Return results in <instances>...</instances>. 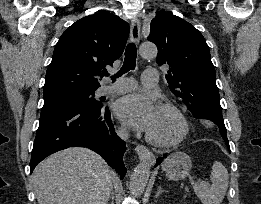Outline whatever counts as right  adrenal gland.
<instances>
[{
  "label": "right adrenal gland",
  "mask_w": 261,
  "mask_h": 204,
  "mask_svg": "<svg viewBox=\"0 0 261 204\" xmlns=\"http://www.w3.org/2000/svg\"><path fill=\"white\" fill-rule=\"evenodd\" d=\"M109 199L112 201V203H111V204H113V202H114V193H113V192L111 193V195H110Z\"/></svg>",
  "instance_id": "1"
}]
</instances>
